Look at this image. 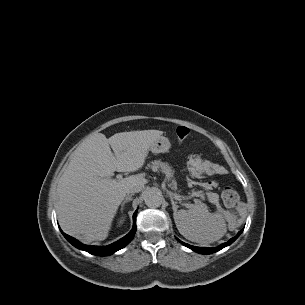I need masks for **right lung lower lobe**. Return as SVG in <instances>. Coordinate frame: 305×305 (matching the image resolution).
Here are the masks:
<instances>
[{"instance_id": "98d812e1", "label": "right lung lower lobe", "mask_w": 305, "mask_h": 305, "mask_svg": "<svg viewBox=\"0 0 305 305\" xmlns=\"http://www.w3.org/2000/svg\"><path fill=\"white\" fill-rule=\"evenodd\" d=\"M136 213L137 211H135L134 215H133V228L132 230L123 238H121L120 240H118L115 243H112L108 246H87L82 244L81 242H79L78 240H76L75 238L65 234L62 230V234L64 235V237L76 248L80 249V250H84L90 254L93 255H97V256H108L111 255L113 253H115L116 251L124 248L134 237L135 232H136Z\"/></svg>"}]
</instances>
